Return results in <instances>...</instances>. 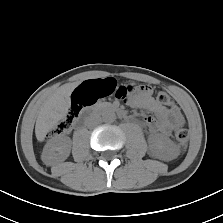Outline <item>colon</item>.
<instances>
[{
	"label": "colon",
	"mask_w": 223,
	"mask_h": 223,
	"mask_svg": "<svg viewBox=\"0 0 223 223\" xmlns=\"http://www.w3.org/2000/svg\"><path fill=\"white\" fill-rule=\"evenodd\" d=\"M133 90L134 88L132 85H117L112 78H107L105 80H89L82 83L74 90L71 98V108L64 119L54 128L53 134H65L72 127L75 119L84 107L92 105L99 99L110 95L117 99L127 100ZM157 101L163 106L172 104L171 97L164 92L158 94ZM175 137L179 150L184 152L188 147V132L183 128H179L175 132Z\"/></svg>",
	"instance_id": "1"
}]
</instances>
